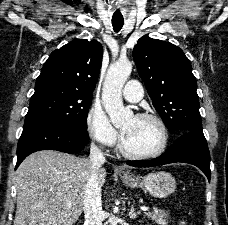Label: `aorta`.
Returning <instances> with one entry per match:
<instances>
[{
  "label": "aorta",
  "instance_id": "762f6f07",
  "mask_svg": "<svg viewBox=\"0 0 228 225\" xmlns=\"http://www.w3.org/2000/svg\"><path fill=\"white\" fill-rule=\"evenodd\" d=\"M130 60H117L110 64L102 88V100L107 115L114 127H121L126 119L133 117V110L125 108L122 102V88L131 74ZM113 225H117L113 221Z\"/></svg>",
  "mask_w": 228,
  "mask_h": 225
}]
</instances>
